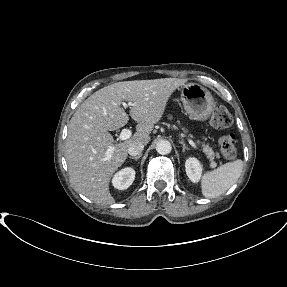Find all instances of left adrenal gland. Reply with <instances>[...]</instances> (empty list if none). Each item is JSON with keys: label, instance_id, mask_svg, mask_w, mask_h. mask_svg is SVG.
<instances>
[{"label": "left adrenal gland", "instance_id": "obj_1", "mask_svg": "<svg viewBox=\"0 0 287 287\" xmlns=\"http://www.w3.org/2000/svg\"><path fill=\"white\" fill-rule=\"evenodd\" d=\"M179 143L182 144L183 146V150H182L183 153L185 152V150H189V148L185 145L183 141H180Z\"/></svg>", "mask_w": 287, "mask_h": 287}]
</instances>
